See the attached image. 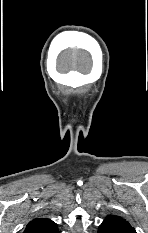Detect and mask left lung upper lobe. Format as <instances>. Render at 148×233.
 Returning <instances> with one entry per match:
<instances>
[{"label": "left lung upper lobe", "instance_id": "1", "mask_svg": "<svg viewBox=\"0 0 148 233\" xmlns=\"http://www.w3.org/2000/svg\"><path fill=\"white\" fill-rule=\"evenodd\" d=\"M98 233H136V231L124 218L108 215L99 226Z\"/></svg>", "mask_w": 148, "mask_h": 233}]
</instances>
